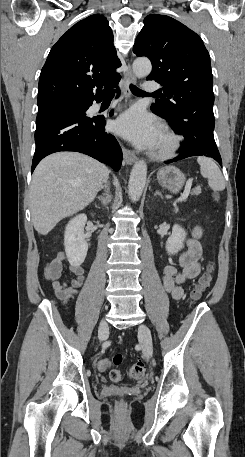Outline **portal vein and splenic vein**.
<instances>
[{
    "label": "portal vein and splenic vein",
    "mask_w": 245,
    "mask_h": 457,
    "mask_svg": "<svg viewBox=\"0 0 245 457\" xmlns=\"http://www.w3.org/2000/svg\"><path fill=\"white\" fill-rule=\"evenodd\" d=\"M193 178H189L188 182H186L185 184V189H184V192L183 194H181V196H179V198H177V200H185V198H187L191 188L194 186V183H193Z\"/></svg>",
    "instance_id": "18ae733b"
}]
</instances>
